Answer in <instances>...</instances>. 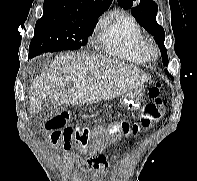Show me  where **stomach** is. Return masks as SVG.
<instances>
[{
    "label": "stomach",
    "instance_id": "stomach-1",
    "mask_svg": "<svg viewBox=\"0 0 197 181\" xmlns=\"http://www.w3.org/2000/svg\"><path fill=\"white\" fill-rule=\"evenodd\" d=\"M142 97H143V89L142 87H138L122 95L121 104L127 110L133 111L139 108Z\"/></svg>",
    "mask_w": 197,
    "mask_h": 181
}]
</instances>
